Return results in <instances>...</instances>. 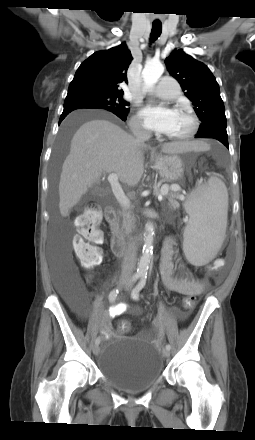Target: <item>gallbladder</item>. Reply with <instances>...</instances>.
Here are the masks:
<instances>
[{"mask_svg": "<svg viewBox=\"0 0 255 440\" xmlns=\"http://www.w3.org/2000/svg\"><path fill=\"white\" fill-rule=\"evenodd\" d=\"M93 190L96 191V190H97V187H94Z\"/></svg>", "mask_w": 255, "mask_h": 440, "instance_id": "bac80fb5", "label": "gallbladder"}]
</instances>
